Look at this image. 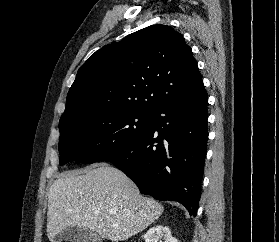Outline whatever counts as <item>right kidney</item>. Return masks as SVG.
Wrapping results in <instances>:
<instances>
[{
  "instance_id": "1",
  "label": "right kidney",
  "mask_w": 279,
  "mask_h": 242,
  "mask_svg": "<svg viewBox=\"0 0 279 242\" xmlns=\"http://www.w3.org/2000/svg\"><path fill=\"white\" fill-rule=\"evenodd\" d=\"M145 242H178L167 226L156 225L151 227L144 235Z\"/></svg>"
}]
</instances>
